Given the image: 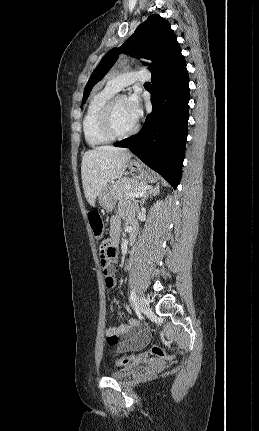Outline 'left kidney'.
<instances>
[{
	"label": "left kidney",
	"mask_w": 259,
	"mask_h": 431,
	"mask_svg": "<svg viewBox=\"0 0 259 431\" xmlns=\"http://www.w3.org/2000/svg\"><path fill=\"white\" fill-rule=\"evenodd\" d=\"M161 202H158L154 205V207L156 208V210L158 211L160 208Z\"/></svg>",
	"instance_id": "left-kidney-1"
}]
</instances>
